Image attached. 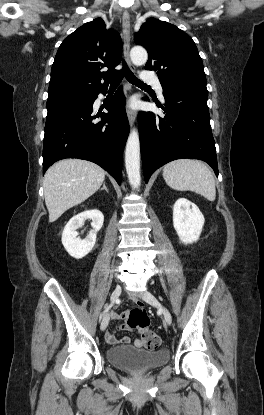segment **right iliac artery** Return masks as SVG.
Instances as JSON below:
<instances>
[{"mask_svg":"<svg viewBox=\"0 0 264 415\" xmlns=\"http://www.w3.org/2000/svg\"><path fill=\"white\" fill-rule=\"evenodd\" d=\"M111 306H112V305H109V306H107V307L105 308V310L103 311V313H102L101 317H103V316L105 315V313L109 310V308H110Z\"/></svg>","mask_w":264,"mask_h":415,"instance_id":"obj_1","label":"right iliac artery"}]
</instances>
